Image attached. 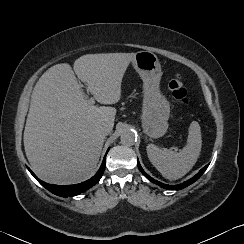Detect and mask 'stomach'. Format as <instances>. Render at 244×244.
Masks as SVG:
<instances>
[{"instance_id": "stomach-1", "label": "stomach", "mask_w": 244, "mask_h": 244, "mask_svg": "<svg viewBox=\"0 0 244 244\" xmlns=\"http://www.w3.org/2000/svg\"><path fill=\"white\" fill-rule=\"evenodd\" d=\"M132 64L143 80V131L150 138H159L167 132L171 115L170 103L159 89L162 76L159 59L150 51H139Z\"/></svg>"}]
</instances>
